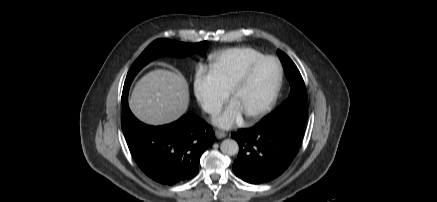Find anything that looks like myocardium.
I'll use <instances>...</instances> for the list:
<instances>
[{
  "mask_svg": "<svg viewBox=\"0 0 437 202\" xmlns=\"http://www.w3.org/2000/svg\"><path fill=\"white\" fill-rule=\"evenodd\" d=\"M269 60L274 61L278 66L277 79L274 83V86L272 88V91H271L270 96H269L268 100L266 101V103L256 112L246 116V119L248 122H253V121L261 119L273 108V106L278 98V95H279V92L281 89V85H282V81H283L284 72H283V66H282L281 62L279 61L278 58H276L275 56H271V55H266V56L260 57L256 60L252 61L247 66V68L242 73V75L234 83L232 88L230 89V97L233 98L234 95L248 83V81L251 79L255 69L261 63H263L265 61H269Z\"/></svg>",
  "mask_w": 437,
  "mask_h": 202,
  "instance_id": "1",
  "label": "myocardium"
}]
</instances>
